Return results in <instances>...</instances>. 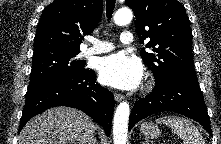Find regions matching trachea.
Here are the masks:
<instances>
[{
    "mask_svg": "<svg viewBox=\"0 0 221 144\" xmlns=\"http://www.w3.org/2000/svg\"><path fill=\"white\" fill-rule=\"evenodd\" d=\"M116 0H106V15L108 20L112 18Z\"/></svg>",
    "mask_w": 221,
    "mask_h": 144,
    "instance_id": "3493384b",
    "label": "trachea"
}]
</instances>
